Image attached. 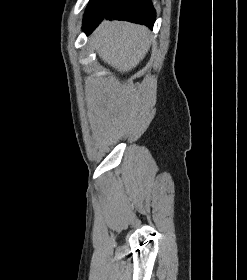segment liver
<instances>
[{"mask_svg":"<svg viewBox=\"0 0 247 280\" xmlns=\"http://www.w3.org/2000/svg\"><path fill=\"white\" fill-rule=\"evenodd\" d=\"M99 57L121 73L135 68L150 48L147 27L125 21H103L94 33Z\"/></svg>","mask_w":247,"mask_h":280,"instance_id":"1","label":"liver"}]
</instances>
